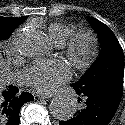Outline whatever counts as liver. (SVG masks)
I'll use <instances>...</instances> for the list:
<instances>
[{
  "instance_id": "liver-1",
  "label": "liver",
  "mask_w": 125,
  "mask_h": 125,
  "mask_svg": "<svg viewBox=\"0 0 125 125\" xmlns=\"http://www.w3.org/2000/svg\"><path fill=\"white\" fill-rule=\"evenodd\" d=\"M3 74H4V60L0 53V87H2L3 84Z\"/></svg>"
}]
</instances>
